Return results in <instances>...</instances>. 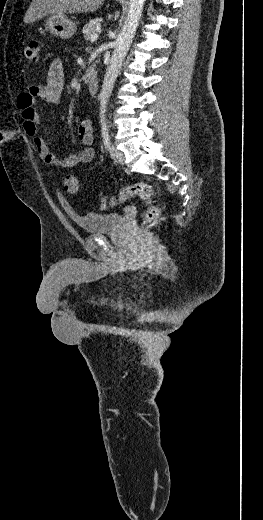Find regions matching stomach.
Instances as JSON below:
<instances>
[{"mask_svg": "<svg viewBox=\"0 0 263 520\" xmlns=\"http://www.w3.org/2000/svg\"><path fill=\"white\" fill-rule=\"evenodd\" d=\"M45 30L52 35L61 38H69L77 30L76 23L67 18L65 14H50L44 20Z\"/></svg>", "mask_w": 263, "mask_h": 520, "instance_id": "obj_1", "label": "stomach"}]
</instances>
